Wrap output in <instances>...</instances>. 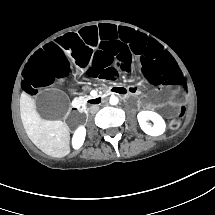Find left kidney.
Masks as SVG:
<instances>
[{
  "label": "left kidney",
  "instance_id": "obj_1",
  "mask_svg": "<svg viewBox=\"0 0 215 215\" xmlns=\"http://www.w3.org/2000/svg\"><path fill=\"white\" fill-rule=\"evenodd\" d=\"M151 120L153 124H149ZM141 129L152 136L161 135L165 131V122L160 115L152 111H142L138 114Z\"/></svg>",
  "mask_w": 215,
  "mask_h": 215
}]
</instances>
